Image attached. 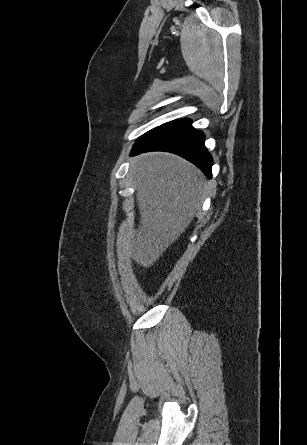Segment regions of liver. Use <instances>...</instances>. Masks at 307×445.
I'll list each match as a JSON object with an SVG mask.
<instances>
[{
	"mask_svg": "<svg viewBox=\"0 0 307 445\" xmlns=\"http://www.w3.org/2000/svg\"><path fill=\"white\" fill-rule=\"evenodd\" d=\"M135 164L140 227L133 235L121 227L118 245L138 265L152 267L185 233L208 194V186L199 168L175 154H146Z\"/></svg>",
	"mask_w": 307,
	"mask_h": 445,
	"instance_id": "liver-1",
	"label": "liver"
}]
</instances>
